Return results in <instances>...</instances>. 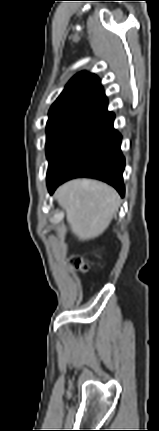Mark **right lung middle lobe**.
Instances as JSON below:
<instances>
[{
	"instance_id": "right-lung-middle-lobe-1",
	"label": "right lung middle lobe",
	"mask_w": 159,
	"mask_h": 431,
	"mask_svg": "<svg viewBox=\"0 0 159 431\" xmlns=\"http://www.w3.org/2000/svg\"><path fill=\"white\" fill-rule=\"evenodd\" d=\"M87 122L80 119L55 117L49 118L46 127V155L50 160L61 144Z\"/></svg>"
}]
</instances>
